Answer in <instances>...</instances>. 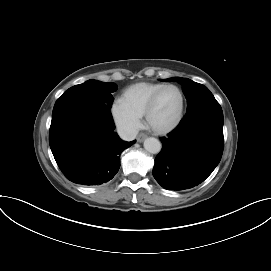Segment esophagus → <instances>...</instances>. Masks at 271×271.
Wrapping results in <instances>:
<instances>
[{"mask_svg":"<svg viewBox=\"0 0 271 271\" xmlns=\"http://www.w3.org/2000/svg\"><path fill=\"white\" fill-rule=\"evenodd\" d=\"M147 138V135L146 134H144V133H140L138 136H137V142H143L144 141V139H146Z\"/></svg>","mask_w":271,"mask_h":271,"instance_id":"esophagus-1","label":"esophagus"}]
</instances>
